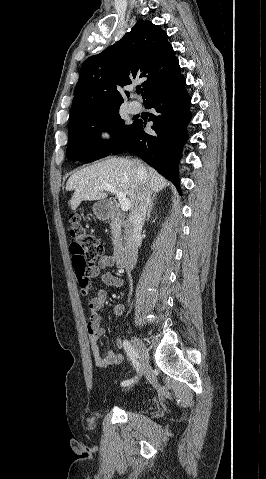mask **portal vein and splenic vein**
<instances>
[{
    "instance_id": "18ae733b",
    "label": "portal vein and splenic vein",
    "mask_w": 266,
    "mask_h": 479,
    "mask_svg": "<svg viewBox=\"0 0 266 479\" xmlns=\"http://www.w3.org/2000/svg\"><path fill=\"white\" fill-rule=\"evenodd\" d=\"M94 189L95 190H105L107 192L115 194L116 197L118 198L119 202H120L121 210L122 211H128L130 209V206H131L130 200L126 197L125 194H123L122 192L117 190L112 185L104 184L102 186L95 187Z\"/></svg>"
}]
</instances>
